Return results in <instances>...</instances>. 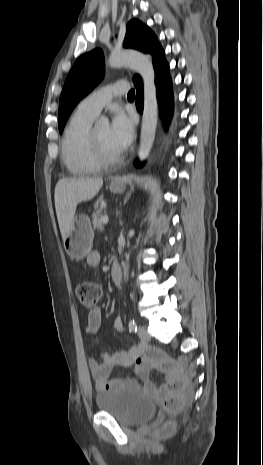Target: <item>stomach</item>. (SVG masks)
<instances>
[{"instance_id":"0dacf381","label":"stomach","mask_w":263,"mask_h":465,"mask_svg":"<svg viewBox=\"0 0 263 465\" xmlns=\"http://www.w3.org/2000/svg\"><path fill=\"white\" fill-rule=\"evenodd\" d=\"M124 189L125 184L122 180L110 185V191L113 193H121ZM93 239L94 232L90 218L84 214L76 216L63 240L64 249L71 258L81 260L91 251Z\"/></svg>"}]
</instances>
